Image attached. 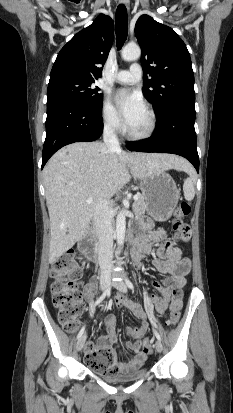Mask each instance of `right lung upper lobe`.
<instances>
[{"label":"right lung upper lobe","instance_id":"obj_1","mask_svg":"<svg viewBox=\"0 0 233 413\" xmlns=\"http://www.w3.org/2000/svg\"><path fill=\"white\" fill-rule=\"evenodd\" d=\"M114 24L100 14L93 23L78 32L59 52L50 73L53 81L65 77L96 80L113 42Z\"/></svg>","mask_w":233,"mask_h":413}]
</instances>
